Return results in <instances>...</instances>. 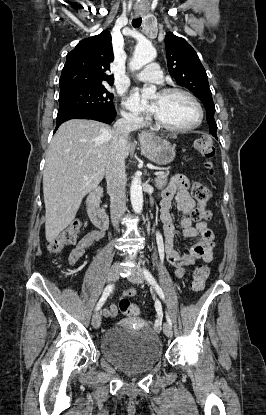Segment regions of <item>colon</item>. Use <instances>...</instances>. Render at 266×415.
<instances>
[{
	"label": "colon",
	"mask_w": 266,
	"mask_h": 415,
	"mask_svg": "<svg viewBox=\"0 0 266 415\" xmlns=\"http://www.w3.org/2000/svg\"><path fill=\"white\" fill-rule=\"evenodd\" d=\"M194 147L196 151L207 160L214 156L215 148L213 140L210 137H201L196 140ZM206 167L211 171L212 165L206 162ZM193 197L197 200L198 206L193 212L195 220H209L211 218L210 211L206 208L211 193L208 187L202 183H195L192 189ZM81 223L79 220L72 221L50 244L49 251L51 253H60L64 247L76 243L80 234ZM209 275V269L205 265L197 266L192 273L191 289L199 292L204 288L205 282ZM120 311L126 316H137L140 312L139 307L126 298H122L119 302Z\"/></svg>",
	"instance_id": "5ec220e1"
}]
</instances>
